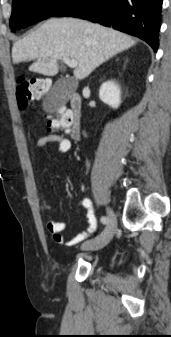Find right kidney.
<instances>
[{
	"instance_id": "ca27d5eb",
	"label": "right kidney",
	"mask_w": 171,
	"mask_h": 337,
	"mask_svg": "<svg viewBox=\"0 0 171 337\" xmlns=\"http://www.w3.org/2000/svg\"><path fill=\"white\" fill-rule=\"evenodd\" d=\"M99 97L110 107L118 108L121 103L120 87L114 81H107L101 85Z\"/></svg>"
}]
</instances>
